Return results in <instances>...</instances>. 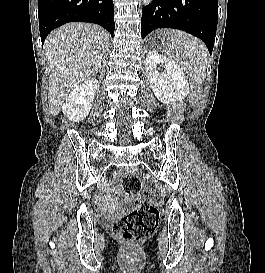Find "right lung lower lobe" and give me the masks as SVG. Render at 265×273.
<instances>
[{"label":"right lung lower lobe","instance_id":"obj_1","mask_svg":"<svg viewBox=\"0 0 265 273\" xmlns=\"http://www.w3.org/2000/svg\"><path fill=\"white\" fill-rule=\"evenodd\" d=\"M38 14L42 44L53 29L68 22L96 23L114 33L112 0H39Z\"/></svg>","mask_w":265,"mask_h":273}]
</instances>
